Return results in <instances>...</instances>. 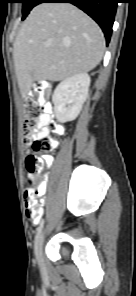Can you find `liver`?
I'll use <instances>...</instances> for the list:
<instances>
[{"mask_svg": "<svg viewBox=\"0 0 136 296\" xmlns=\"http://www.w3.org/2000/svg\"><path fill=\"white\" fill-rule=\"evenodd\" d=\"M104 49L100 27L74 5L35 6L14 42L13 59L21 95L25 97L35 81H60L91 71L100 63Z\"/></svg>", "mask_w": 136, "mask_h": 296, "instance_id": "liver-1", "label": "liver"}]
</instances>
